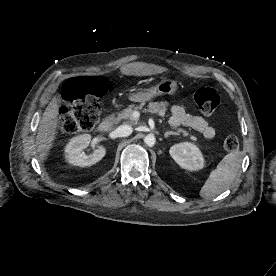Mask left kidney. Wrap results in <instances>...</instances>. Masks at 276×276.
I'll list each match as a JSON object with an SVG mask.
<instances>
[{
  "instance_id": "left-kidney-1",
  "label": "left kidney",
  "mask_w": 276,
  "mask_h": 276,
  "mask_svg": "<svg viewBox=\"0 0 276 276\" xmlns=\"http://www.w3.org/2000/svg\"><path fill=\"white\" fill-rule=\"evenodd\" d=\"M169 153L175 162L184 169L197 171L204 167V158L201 151L190 142L173 145Z\"/></svg>"
}]
</instances>
